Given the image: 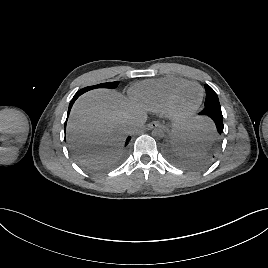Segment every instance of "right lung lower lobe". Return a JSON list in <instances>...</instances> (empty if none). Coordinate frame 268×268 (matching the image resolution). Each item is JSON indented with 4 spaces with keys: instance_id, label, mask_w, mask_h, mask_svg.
Wrapping results in <instances>:
<instances>
[{
    "instance_id": "obj_1",
    "label": "right lung lower lobe",
    "mask_w": 268,
    "mask_h": 268,
    "mask_svg": "<svg viewBox=\"0 0 268 268\" xmlns=\"http://www.w3.org/2000/svg\"><path fill=\"white\" fill-rule=\"evenodd\" d=\"M81 93H82L81 91H78V92L74 95L73 99L71 100V102H70V104H69L68 115H69V113H70V110H71V108H72L73 103H74L75 100L81 95ZM65 125H66V122H65ZM130 139H131V137H128V138H127V140H126V142H125V146L128 145Z\"/></svg>"
}]
</instances>
